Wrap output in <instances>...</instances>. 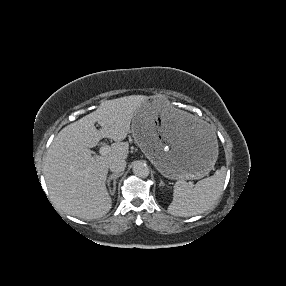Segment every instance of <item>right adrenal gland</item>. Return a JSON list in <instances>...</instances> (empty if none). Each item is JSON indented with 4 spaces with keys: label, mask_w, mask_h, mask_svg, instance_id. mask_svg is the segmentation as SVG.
Returning <instances> with one entry per match:
<instances>
[{
    "label": "right adrenal gland",
    "mask_w": 286,
    "mask_h": 286,
    "mask_svg": "<svg viewBox=\"0 0 286 286\" xmlns=\"http://www.w3.org/2000/svg\"><path fill=\"white\" fill-rule=\"evenodd\" d=\"M122 173L113 174L107 179V186L109 187V191L112 195L115 194L116 191V180L121 177ZM113 180V188H111V181Z\"/></svg>",
    "instance_id": "right-adrenal-gland-1"
}]
</instances>
